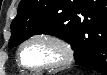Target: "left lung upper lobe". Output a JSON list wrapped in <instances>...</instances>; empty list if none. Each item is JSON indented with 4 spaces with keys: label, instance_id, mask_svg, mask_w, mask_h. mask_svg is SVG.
<instances>
[{
    "label": "left lung upper lobe",
    "instance_id": "obj_1",
    "mask_svg": "<svg viewBox=\"0 0 107 75\" xmlns=\"http://www.w3.org/2000/svg\"><path fill=\"white\" fill-rule=\"evenodd\" d=\"M95 10L96 5L87 0H21L17 16L11 23L9 48L32 35L45 33L69 42L74 58H79L84 54L86 43L85 37L81 38L83 19ZM101 31L103 27L100 24L92 27L86 41L99 36Z\"/></svg>",
    "mask_w": 107,
    "mask_h": 75
}]
</instances>
